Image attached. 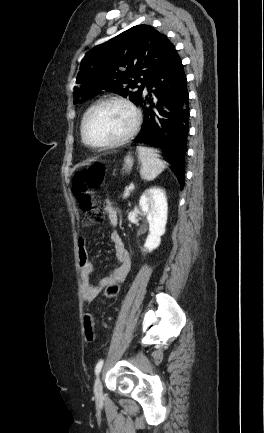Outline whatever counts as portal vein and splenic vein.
<instances>
[{"mask_svg": "<svg viewBox=\"0 0 264 433\" xmlns=\"http://www.w3.org/2000/svg\"><path fill=\"white\" fill-rule=\"evenodd\" d=\"M133 190V187H125V194L128 195L130 191Z\"/></svg>", "mask_w": 264, "mask_h": 433, "instance_id": "1", "label": "portal vein and splenic vein"}]
</instances>
